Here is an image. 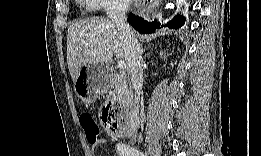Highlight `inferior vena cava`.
Returning a JSON list of instances; mask_svg holds the SVG:
<instances>
[{"label": "inferior vena cava", "instance_id": "602c4592", "mask_svg": "<svg viewBox=\"0 0 261 156\" xmlns=\"http://www.w3.org/2000/svg\"><path fill=\"white\" fill-rule=\"evenodd\" d=\"M129 8L127 0H112L107 9L109 20L117 27L125 39V59L127 61L131 82L135 91L134 106L131 109L129 128L135 132L139 126L138 104L143 84V59L138 41L126 19Z\"/></svg>", "mask_w": 261, "mask_h": 156}]
</instances>
